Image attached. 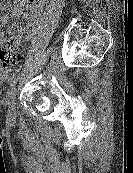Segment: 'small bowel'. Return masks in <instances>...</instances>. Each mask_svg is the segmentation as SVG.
Listing matches in <instances>:
<instances>
[{"label": "small bowel", "mask_w": 133, "mask_h": 173, "mask_svg": "<svg viewBox=\"0 0 133 173\" xmlns=\"http://www.w3.org/2000/svg\"><path fill=\"white\" fill-rule=\"evenodd\" d=\"M48 0H22L11 11L10 16H25L27 19V25L23 30H19L18 27L9 28L8 32L11 35L19 34L24 38L28 37L35 29V26L39 22L43 7ZM7 20V17L1 18L0 23L3 24ZM9 42V39L5 36L4 32L0 31V47L5 46Z\"/></svg>", "instance_id": "1"}]
</instances>
